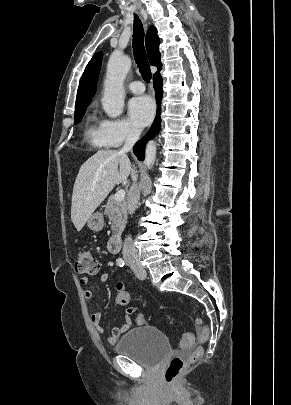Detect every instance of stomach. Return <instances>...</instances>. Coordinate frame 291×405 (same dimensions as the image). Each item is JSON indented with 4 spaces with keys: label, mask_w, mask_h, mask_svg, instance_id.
<instances>
[{
    "label": "stomach",
    "mask_w": 291,
    "mask_h": 405,
    "mask_svg": "<svg viewBox=\"0 0 291 405\" xmlns=\"http://www.w3.org/2000/svg\"><path fill=\"white\" fill-rule=\"evenodd\" d=\"M87 226L93 231H100L104 226V218L101 212L92 213L87 220Z\"/></svg>",
    "instance_id": "1"
}]
</instances>
